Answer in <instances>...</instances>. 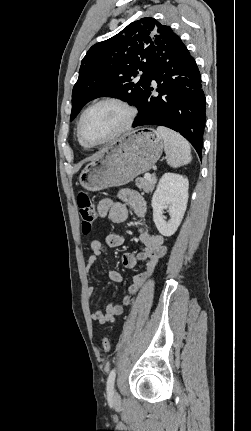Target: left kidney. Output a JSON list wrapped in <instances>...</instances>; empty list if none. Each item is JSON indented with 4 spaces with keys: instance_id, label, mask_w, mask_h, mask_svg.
<instances>
[{
    "instance_id": "left-kidney-1",
    "label": "left kidney",
    "mask_w": 251,
    "mask_h": 431,
    "mask_svg": "<svg viewBox=\"0 0 251 431\" xmlns=\"http://www.w3.org/2000/svg\"><path fill=\"white\" fill-rule=\"evenodd\" d=\"M189 181L182 175L165 173L152 197L153 221L166 237L178 229L187 208ZM168 208L170 219L165 220L163 210Z\"/></svg>"
}]
</instances>
